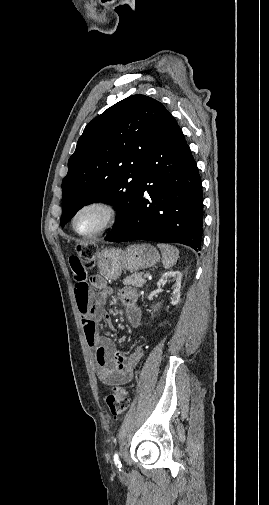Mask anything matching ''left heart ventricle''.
<instances>
[{
	"label": "left heart ventricle",
	"instance_id": "obj_1",
	"mask_svg": "<svg viewBox=\"0 0 269 505\" xmlns=\"http://www.w3.org/2000/svg\"><path fill=\"white\" fill-rule=\"evenodd\" d=\"M107 219V211L101 207H91L82 211L76 219L79 232L89 233L98 229Z\"/></svg>",
	"mask_w": 269,
	"mask_h": 505
}]
</instances>
